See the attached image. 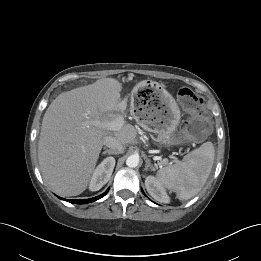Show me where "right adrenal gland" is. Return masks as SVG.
Wrapping results in <instances>:
<instances>
[{"label":"right adrenal gland","instance_id":"right-adrenal-gland-1","mask_svg":"<svg viewBox=\"0 0 261 261\" xmlns=\"http://www.w3.org/2000/svg\"><path fill=\"white\" fill-rule=\"evenodd\" d=\"M102 154L113 155L114 153L111 150L107 149V150L103 151Z\"/></svg>","mask_w":261,"mask_h":261}]
</instances>
